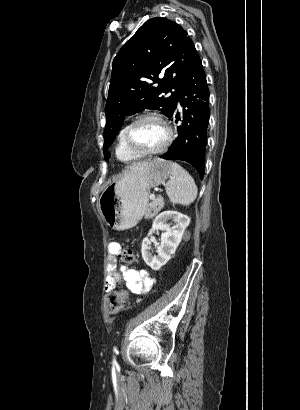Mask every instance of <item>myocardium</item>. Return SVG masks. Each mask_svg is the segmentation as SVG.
Returning <instances> with one entry per match:
<instances>
[{
	"mask_svg": "<svg viewBox=\"0 0 300 410\" xmlns=\"http://www.w3.org/2000/svg\"><path fill=\"white\" fill-rule=\"evenodd\" d=\"M147 119H155V120L159 121L166 130V139H165V141L163 142V144L159 148L154 149V150H141V149H139L133 143L132 137H131L132 131L135 128V126L138 125L140 122H142L144 120H147ZM172 139H173V130H172L170 124L168 123V121L165 119V117L163 115H161L159 113H155V112H148V113H144V114L139 115L131 123L128 124V126L126 127L125 132H124V143H125L126 147L139 157L154 156V155H158V154L162 153L170 145Z\"/></svg>",
	"mask_w": 300,
	"mask_h": 410,
	"instance_id": "myocardium-1",
	"label": "myocardium"
}]
</instances>
